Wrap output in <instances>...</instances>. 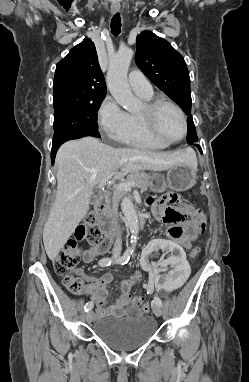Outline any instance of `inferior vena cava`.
Segmentation results:
<instances>
[{"mask_svg": "<svg viewBox=\"0 0 249 382\" xmlns=\"http://www.w3.org/2000/svg\"><path fill=\"white\" fill-rule=\"evenodd\" d=\"M121 250H122V240H121V237L118 235L114 244V248H113V256L114 257L120 256Z\"/></svg>", "mask_w": 249, "mask_h": 382, "instance_id": "1", "label": "inferior vena cava"}]
</instances>
